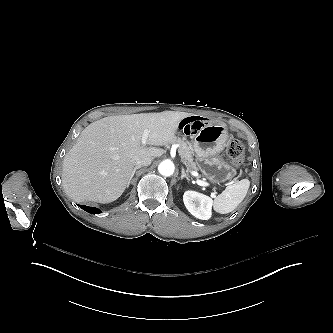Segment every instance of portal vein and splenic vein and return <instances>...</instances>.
Masks as SVG:
<instances>
[{
  "label": "portal vein and splenic vein",
  "mask_w": 333,
  "mask_h": 333,
  "mask_svg": "<svg viewBox=\"0 0 333 333\" xmlns=\"http://www.w3.org/2000/svg\"><path fill=\"white\" fill-rule=\"evenodd\" d=\"M149 138V131H144L143 135H142V143L146 144L147 140ZM200 185H205L204 182H199Z\"/></svg>",
  "instance_id": "obj_1"
}]
</instances>
